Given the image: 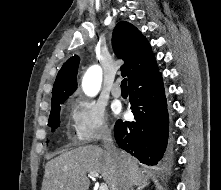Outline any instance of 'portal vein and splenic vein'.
<instances>
[{"instance_id":"obj_1","label":"portal vein and splenic vein","mask_w":221,"mask_h":190,"mask_svg":"<svg viewBox=\"0 0 221 190\" xmlns=\"http://www.w3.org/2000/svg\"><path fill=\"white\" fill-rule=\"evenodd\" d=\"M88 176L90 178H95V177H99V173L98 172H94V171H91L88 173ZM99 190H108V186L106 183H102L99 187Z\"/></svg>"}]
</instances>
